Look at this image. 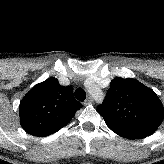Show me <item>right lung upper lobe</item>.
Returning a JSON list of instances; mask_svg holds the SVG:
<instances>
[{"mask_svg":"<svg viewBox=\"0 0 164 164\" xmlns=\"http://www.w3.org/2000/svg\"><path fill=\"white\" fill-rule=\"evenodd\" d=\"M82 105L70 86H61L54 77L35 85L19 107L22 128L34 136H48L65 126Z\"/></svg>","mask_w":164,"mask_h":164,"instance_id":"right-lung-upper-lobe-1","label":"right lung upper lobe"}]
</instances>
